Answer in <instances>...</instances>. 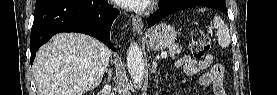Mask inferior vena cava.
Instances as JSON below:
<instances>
[{
    "label": "inferior vena cava",
    "instance_id": "1",
    "mask_svg": "<svg viewBox=\"0 0 277 95\" xmlns=\"http://www.w3.org/2000/svg\"><path fill=\"white\" fill-rule=\"evenodd\" d=\"M106 88H107L108 90H110V86H106Z\"/></svg>",
    "mask_w": 277,
    "mask_h": 95
}]
</instances>
